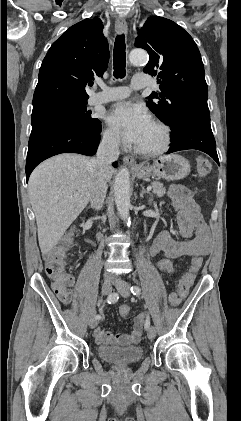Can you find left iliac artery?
Segmentation results:
<instances>
[{"label":"left iliac artery","instance_id":"obj_1","mask_svg":"<svg viewBox=\"0 0 241 421\" xmlns=\"http://www.w3.org/2000/svg\"><path fill=\"white\" fill-rule=\"evenodd\" d=\"M130 290L132 294L135 296H139L141 293V289L139 288V286H136V285L132 286ZM149 327H150V318L147 317L146 322H145V329H148Z\"/></svg>","mask_w":241,"mask_h":421}]
</instances>
